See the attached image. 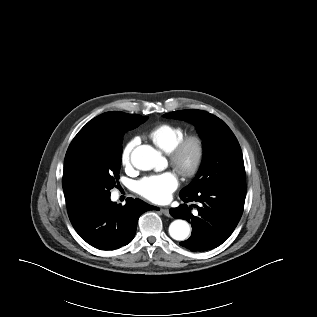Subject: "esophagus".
<instances>
[{
	"instance_id": "34e87169",
	"label": "esophagus",
	"mask_w": 317,
	"mask_h": 317,
	"mask_svg": "<svg viewBox=\"0 0 317 317\" xmlns=\"http://www.w3.org/2000/svg\"><path fill=\"white\" fill-rule=\"evenodd\" d=\"M161 212L167 217L171 216L168 208H161Z\"/></svg>"
}]
</instances>
